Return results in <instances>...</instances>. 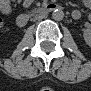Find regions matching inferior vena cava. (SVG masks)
<instances>
[{"label": "inferior vena cava", "mask_w": 91, "mask_h": 91, "mask_svg": "<svg viewBox=\"0 0 91 91\" xmlns=\"http://www.w3.org/2000/svg\"><path fill=\"white\" fill-rule=\"evenodd\" d=\"M42 18H45V13H38V14L32 15V20H37Z\"/></svg>", "instance_id": "obj_1"}]
</instances>
